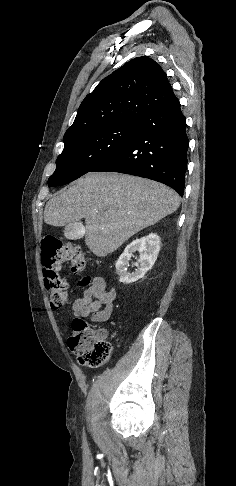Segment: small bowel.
Returning a JSON list of instances; mask_svg holds the SVG:
<instances>
[{"mask_svg": "<svg viewBox=\"0 0 236 486\" xmlns=\"http://www.w3.org/2000/svg\"><path fill=\"white\" fill-rule=\"evenodd\" d=\"M116 292L110 288L106 280L101 276L93 278L92 284L83 291L80 298H77L72 305L73 315L75 317H89L94 323L105 322L110 319ZM106 338L105 329L98 330Z\"/></svg>", "mask_w": 236, "mask_h": 486, "instance_id": "small-bowel-1", "label": "small bowel"}]
</instances>
